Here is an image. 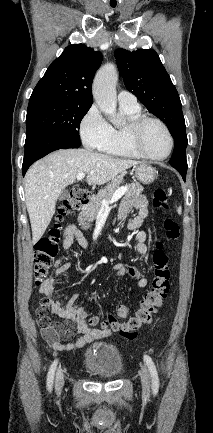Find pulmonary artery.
I'll use <instances>...</instances> for the list:
<instances>
[{
	"label": "pulmonary artery",
	"instance_id": "pulmonary-artery-1",
	"mask_svg": "<svg viewBox=\"0 0 213 433\" xmlns=\"http://www.w3.org/2000/svg\"><path fill=\"white\" fill-rule=\"evenodd\" d=\"M117 98L120 106H125L130 108L139 107L136 96L127 90L119 91Z\"/></svg>",
	"mask_w": 213,
	"mask_h": 433
}]
</instances>
